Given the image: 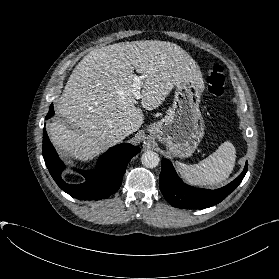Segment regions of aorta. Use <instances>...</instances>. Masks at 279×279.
<instances>
[{"instance_id": "obj_1", "label": "aorta", "mask_w": 279, "mask_h": 279, "mask_svg": "<svg viewBox=\"0 0 279 279\" xmlns=\"http://www.w3.org/2000/svg\"><path fill=\"white\" fill-rule=\"evenodd\" d=\"M160 161L159 155L153 151H146L141 156V163L146 168H155Z\"/></svg>"}]
</instances>
